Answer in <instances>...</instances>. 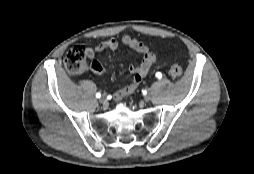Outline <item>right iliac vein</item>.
Returning a JSON list of instances; mask_svg holds the SVG:
<instances>
[{
  "mask_svg": "<svg viewBox=\"0 0 254 174\" xmlns=\"http://www.w3.org/2000/svg\"><path fill=\"white\" fill-rule=\"evenodd\" d=\"M100 102L102 103V104H107V98H106V96L105 95H103L101 98H100Z\"/></svg>",
  "mask_w": 254,
  "mask_h": 174,
  "instance_id": "63e3f726",
  "label": "right iliac vein"
}]
</instances>
